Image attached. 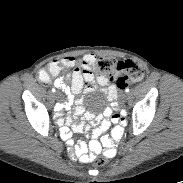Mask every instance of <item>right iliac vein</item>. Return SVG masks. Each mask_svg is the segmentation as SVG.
<instances>
[{
    "label": "right iliac vein",
    "mask_w": 183,
    "mask_h": 183,
    "mask_svg": "<svg viewBox=\"0 0 183 183\" xmlns=\"http://www.w3.org/2000/svg\"><path fill=\"white\" fill-rule=\"evenodd\" d=\"M60 97H61L60 92H56V93H55V98H57V99H58V98H60Z\"/></svg>",
    "instance_id": "63e3f726"
}]
</instances>
